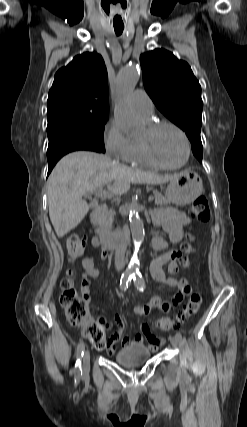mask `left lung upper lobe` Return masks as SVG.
<instances>
[{
  "label": "left lung upper lobe",
  "mask_w": 247,
  "mask_h": 427,
  "mask_svg": "<svg viewBox=\"0 0 247 427\" xmlns=\"http://www.w3.org/2000/svg\"><path fill=\"white\" fill-rule=\"evenodd\" d=\"M145 89L157 108L185 131L193 154L202 162L201 87L190 66L171 52L155 49L140 56Z\"/></svg>",
  "instance_id": "left-lung-upper-lobe-1"
}]
</instances>
